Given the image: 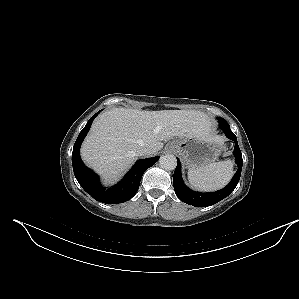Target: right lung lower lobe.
Masks as SVG:
<instances>
[{"instance_id": "right-lung-lower-lobe-1", "label": "right lung lower lobe", "mask_w": 299, "mask_h": 299, "mask_svg": "<svg viewBox=\"0 0 299 299\" xmlns=\"http://www.w3.org/2000/svg\"><path fill=\"white\" fill-rule=\"evenodd\" d=\"M99 112L89 119L74 144L72 152L74 175L83 189L97 201L107 204L122 203L131 199L136 194L143 173L157 162L159 156L138 160L121 182L111 188L103 187L99 182V177L88 169L80 158L81 143Z\"/></svg>"}]
</instances>
